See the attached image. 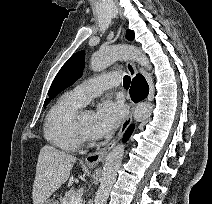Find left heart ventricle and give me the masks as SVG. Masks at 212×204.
Returning a JSON list of instances; mask_svg holds the SVG:
<instances>
[{
  "mask_svg": "<svg viewBox=\"0 0 212 204\" xmlns=\"http://www.w3.org/2000/svg\"><path fill=\"white\" fill-rule=\"evenodd\" d=\"M93 118H94V115L92 113H83L80 115V124L83 130L90 137H92L91 130H92Z\"/></svg>",
  "mask_w": 212,
  "mask_h": 204,
  "instance_id": "left-heart-ventricle-1",
  "label": "left heart ventricle"
}]
</instances>
